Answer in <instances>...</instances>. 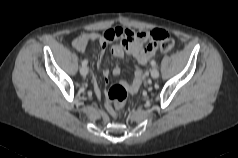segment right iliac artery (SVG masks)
Returning a JSON list of instances; mask_svg holds the SVG:
<instances>
[{"label": "right iliac artery", "instance_id": "right-iliac-artery-1", "mask_svg": "<svg viewBox=\"0 0 238 158\" xmlns=\"http://www.w3.org/2000/svg\"><path fill=\"white\" fill-rule=\"evenodd\" d=\"M88 64V60H84L83 62H82V66H86Z\"/></svg>", "mask_w": 238, "mask_h": 158}]
</instances>
